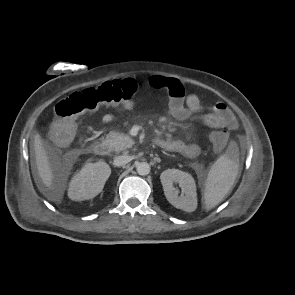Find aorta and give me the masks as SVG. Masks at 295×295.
Returning a JSON list of instances; mask_svg holds the SVG:
<instances>
[{
  "instance_id": "1",
  "label": "aorta",
  "mask_w": 295,
  "mask_h": 295,
  "mask_svg": "<svg viewBox=\"0 0 295 295\" xmlns=\"http://www.w3.org/2000/svg\"><path fill=\"white\" fill-rule=\"evenodd\" d=\"M150 165L147 162H140L136 166L137 173L141 176L148 175L150 173Z\"/></svg>"
}]
</instances>
